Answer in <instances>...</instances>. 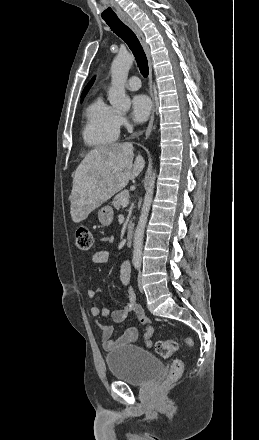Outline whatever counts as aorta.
Instances as JSON below:
<instances>
[{"label": "aorta", "mask_w": 259, "mask_h": 440, "mask_svg": "<svg viewBox=\"0 0 259 440\" xmlns=\"http://www.w3.org/2000/svg\"><path fill=\"white\" fill-rule=\"evenodd\" d=\"M133 61L134 57L129 53L118 54L111 65V87L108 92V99L110 104L120 111H128L131 106L130 98L125 93V84ZM155 180L156 172L153 171L149 179V186L144 197L141 214L134 233L133 260L135 262H141L144 230L153 199Z\"/></svg>", "instance_id": "aorta-1"}]
</instances>
